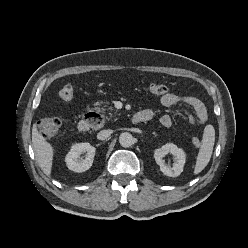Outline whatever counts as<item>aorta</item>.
<instances>
[{
	"mask_svg": "<svg viewBox=\"0 0 248 248\" xmlns=\"http://www.w3.org/2000/svg\"><path fill=\"white\" fill-rule=\"evenodd\" d=\"M119 143L124 148L131 147L134 144V137L129 132H123L119 136Z\"/></svg>",
	"mask_w": 248,
	"mask_h": 248,
	"instance_id": "1",
	"label": "aorta"
}]
</instances>
